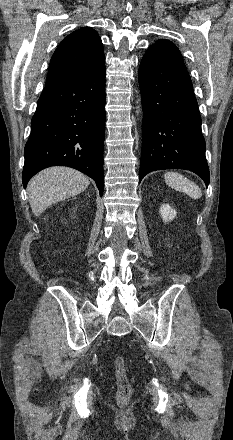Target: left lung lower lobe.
Instances as JSON below:
<instances>
[{
  "mask_svg": "<svg viewBox=\"0 0 233 440\" xmlns=\"http://www.w3.org/2000/svg\"><path fill=\"white\" fill-rule=\"evenodd\" d=\"M138 79L143 108L139 182L149 172L180 168L196 173L208 186L201 116L185 64L146 53Z\"/></svg>",
  "mask_w": 233,
  "mask_h": 440,
  "instance_id": "0a47b994",
  "label": "left lung lower lobe"
}]
</instances>
